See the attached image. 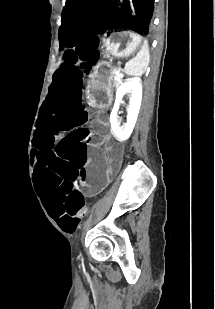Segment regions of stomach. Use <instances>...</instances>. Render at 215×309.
Masks as SVG:
<instances>
[{"mask_svg":"<svg viewBox=\"0 0 215 309\" xmlns=\"http://www.w3.org/2000/svg\"><path fill=\"white\" fill-rule=\"evenodd\" d=\"M105 54L112 58H127L142 48V37L128 30L107 33L102 38ZM114 67L110 62H100L87 82L89 96L96 101H104L113 83Z\"/></svg>","mask_w":215,"mask_h":309,"instance_id":"obj_1","label":"stomach"}]
</instances>
